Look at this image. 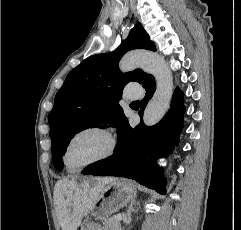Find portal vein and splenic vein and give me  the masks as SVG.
Returning a JSON list of instances; mask_svg holds the SVG:
<instances>
[{
    "label": "portal vein and splenic vein",
    "instance_id": "1",
    "mask_svg": "<svg viewBox=\"0 0 241 230\" xmlns=\"http://www.w3.org/2000/svg\"><path fill=\"white\" fill-rule=\"evenodd\" d=\"M115 217L117 221H121L123 219L121 215H116Z\"/></svg>",
    "mask_w": 241,
    "mask_h": 230
}]
</instances>
